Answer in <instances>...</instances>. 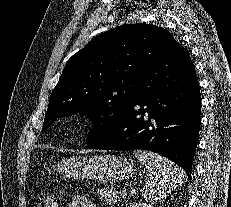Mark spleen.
<instances>
[{"label": "spleen", "mask_w": 231, "mask_h": 207, "mask_svg": "<svg viewBox=\"0 0 231 207\" xmlns=\"http://www.w3.org/2000/svg\"><path fill=\"white\" fill-rule=\"evenodd\" d=\"M135 157L150 173L143 187V197L149 202L166 198L185 179V172L181 168L154 152L137 150Z\"/></svg>", "instance_id": "obj_1"}]
</instances>
